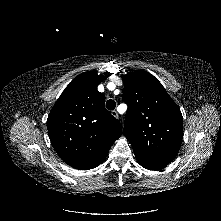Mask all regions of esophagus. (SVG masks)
I'll return each mask as SVG.
<instances>
[{
	"label": "esophagus",
	"instance_id": "1",
	"mask_svg": "<svg viewBox=\"0 0 221 221\" xmlns=\"http://www.w3.org/2000/svg\"><path fill=\"white\" fill-rule=\"evenodd\" d=\"M111 114H112V116H114L115 118H118V117H119V115H118V113H117L116 110H113V111L111 112Z\"/></svg>",
	"mask_w": 221,
	"mask_h": 221
}]
</instances>
